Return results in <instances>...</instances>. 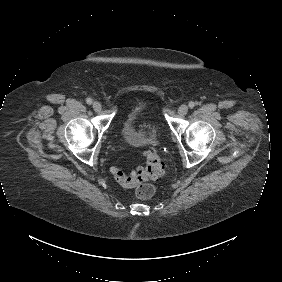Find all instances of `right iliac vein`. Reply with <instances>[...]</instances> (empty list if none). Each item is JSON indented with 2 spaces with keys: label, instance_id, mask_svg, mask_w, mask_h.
<instances>
[{
  "label": "right iliac vein",
  "instance_id": "obj_1",
  "mask_svg": "<svg viewBox=\"0 0 282 282\" xmlns=\"http://www.w3.org/2000/svg\"><path fill=\"white\" fill-rule=\"evenodd\" d=\"M93 109L96 111V112H100L101 109H102V106L99 102H94L93 105H92Z\"/></svg>",
  "mask_w": 282,
  "mask_h": 282
}]
</instances>
